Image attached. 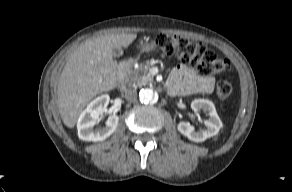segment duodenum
<instances>
[{
  "label": "duodenum",
  "mask_w": 292,
  "mask_h": 192,
  "mask_svg": "<svg viewBox=\"0 0 292 192\" xmlns=\"http://www.w3.org/2000/svg\"><path fill=\"white\" fill-rule=\"evenodd\" d=\"M130 65H131V62L128 60H125V61L120 63V65L118 67V72H117V76H118L119 80H122L124 78Z\"/></svg>",
  "instance_id": "duodenum-1"
}]
</instances>
